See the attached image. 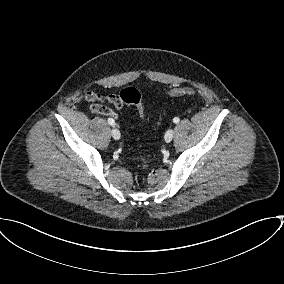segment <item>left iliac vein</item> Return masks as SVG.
Here are the masks:
<instances>
[{
	"label": "left iliac vein",
	"mask_w": 284,
	"mask_h": 284,
	"mask_svg": "<svg viewBox=\"0 0 284 284\" xmlns=\"http://www.w3.org/2000/svg\"><path fill=\"white\" fill-rule=\"evenodd\" d=\"M174 136V131L172 129H169L166 133H165V141L166 142H170L173 139Z\"/></svg>",
	"instance_id": "1"
}]
</instances>
